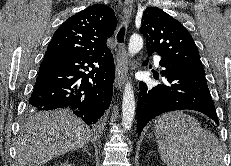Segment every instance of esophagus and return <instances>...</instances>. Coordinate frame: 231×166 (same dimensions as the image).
I'll return each instance as SVG.
<instances>
[{"label":"esophagus","instance_id":"1","mask_svg":"<svg viewBox=\"0 0 231 166\" xmlns=\"http://www.w3.org/2000/svg\"><path fill=\"white\" fill-rule=\"evenodd\" d=\"M133 0H124V18L129 21L132 12ZM128 72V55L126 49L120 45L116 51L115 87L121 90Z\"/></svg>","mask_w":231,"mask_h":166}]
</instances>
